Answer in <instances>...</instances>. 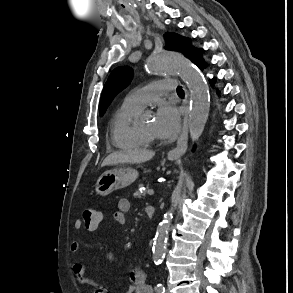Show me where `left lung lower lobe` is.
<instances>
[{
  "label": "left lung lower lobe",
  "mask_w": 293,
  "mask_h": 293,
  "mask_svg": "<svg viewBox=\"0 0 293 293\" xmlns=\"http://www.w3.org/2000/svg\"><path fill=\"white\" fill-rule=\"evenodd\" d=\"M201 55H202V50L199 49L197 54L195 55V57L192 59V62H194V64L197 65L200 69H203L205 64H204V61H203ZM210 83L213 84L214 79L210 80Z\"/></svg>",
  "instance_id": "1"
}]
</instances>
